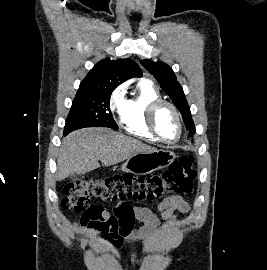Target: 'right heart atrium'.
Masks as SVG:
<instances>
[{
    "instance_id": "1",
    "label": "right heart atrium",
    "mask_w": 267,
    "mask_h": 270,
    "mask_svg": "<svg viewBox=\"0 0 267 270\" xmlns=\"http://www.w3.org/2000/svg\"><path fill=\"white\" fill-rule=\"evenodd\" d=\"M125 94L126 84H121L112 91L109 98V108L113 114H121L126 102Z\"/></svg>"
}]
</instances>
